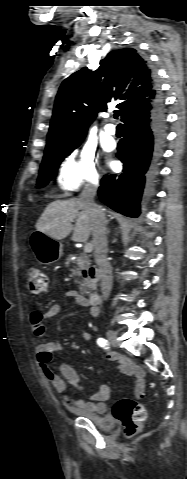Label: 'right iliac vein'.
<instances>
[{"label": "right iliac vein", "mask_w": 187, "mask_h": 479, "mask_svg": "<svg viewBox=\"0 0 187 479\" xmlns=\"http://www.w3.org/2000/svg\"><path fill=\"white\" fill-rule=\"evenodd\" d=\"M106 334H107V338H108L109 342H110L113 346H117V344H118V339H117L116 333H115L113 330L109 329V330H107V333H106Z\"/></svg>", "instance_id": "obj_1"}]
</instances>
